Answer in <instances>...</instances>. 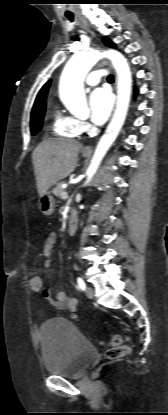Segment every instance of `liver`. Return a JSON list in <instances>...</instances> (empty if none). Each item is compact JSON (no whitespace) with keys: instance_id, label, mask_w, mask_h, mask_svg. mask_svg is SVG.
Masks as SVG:
<instances>
[{"instance_id":"1","label":"liver","mask_w":168,"mask_h":415,"mask_svg":"<svg viewBox=\"0 0 168 415\" xmlns=\"http://www.w3.org/2000/svg\"><path fill=\"white\" fill-rule=\"evenodd\" d=\"M81 148L78 141L63 138L44 140L35 148L32 161L40 197L74 171Z\"/></svg>"}]
</instances>
